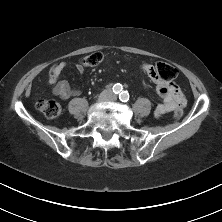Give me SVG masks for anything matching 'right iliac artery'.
Segmentation results:
<instances>
[{
  "mask_svg": "<svg viewBox=\"0 0 222 222\" xmlns=\"http://www.w3.org/2000/svg\"><path fill=\"white\" fill-rule=\"evenodd\" d=\"M122 91V85L121 84H115L114 86H113V92L115 93V94H118V93H120Z\"/></svg>",
  "mask_w": 222,
  "mask_h": 222,
  "instance_id": "right-iliac-artery-1",
  "label": "right iliac artery"
}]
</instances>
